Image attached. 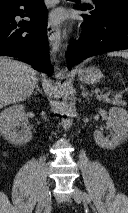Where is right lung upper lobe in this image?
Listing matches in <instances>:
<instances>
[{
    "label": "right lung upper lobe",
    "mask_w": 128,
    "mask_h": 213,
    "mask_svg": "<svg viewBox=\"0 0 128 213\" xmlns=\"http://www.w3.org/2000/svg\"><path fill=\"white\" fill-rule=\"evenodd\" d=\"M16 1H18V0H0V6L10 5V4L15 3Z\"/></svg>",
    "instance_id": "obj_1"
}]
</instances>
